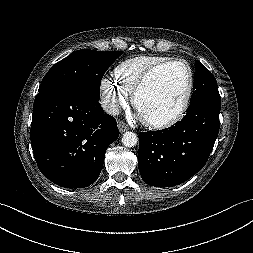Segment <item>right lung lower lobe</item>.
I'll list each match as a JSON object with an SVG mask.
<instances>
[{
	"label": "right lung lower lobe",
	"mask_w": 253,
	"mask_h": 253,
	"mask_svg": "<svg viewBox=\"0 0 253 253\" xmlns=\"http://www.w3.org/2000/svg\"><path fill=\"white\" fill-rule=\"evenodd\" d=\"M119 136L116 120L99 99L50 88L37 94L30 130L41 173L65 188H84L98 178L108 146Z\"/></svg>",
	"instance_id": "right-lung-lower-lobe-1"
}]
</instances>
